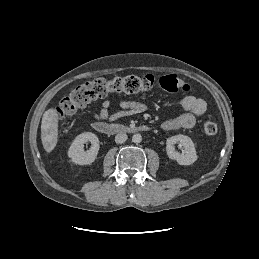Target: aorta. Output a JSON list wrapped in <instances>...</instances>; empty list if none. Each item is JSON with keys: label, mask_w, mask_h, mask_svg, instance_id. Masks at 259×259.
Returning <instances> with one entry per match:
<instances>
[{"label": "aorta", "mask_w": 259, "mask_h": 259, "mask_svg": "<svg viewBox=\"0 0 259 259\" xmlns=\"http://www.w3.org/2000/svg\"><path fill=\"white\" fill-rule=\"evenodd\" d=\"M132 141L134 143L138 144L142 141V136L140 134L136 133L132 136Z\"/></svg>", "instance_id": "aorta-1"}]
</instances>
